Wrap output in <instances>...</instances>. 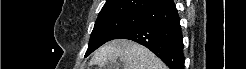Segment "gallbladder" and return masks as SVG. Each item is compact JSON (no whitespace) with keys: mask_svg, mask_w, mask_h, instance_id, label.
<instances>
[{"mask_svg":"<svg viewBox=\"0 0 246 69\" xmlns=\"http://www.w3.org/2000/svg\"><path fill=\"white\" fill-rule=\"evenodd\" d=\"M110 68L109 65H107L106 69H122V66L120 64H113Z\"/></svg>","mask_w":246,"mask_h":69,"instance_id":"1","label":"gallbladder"}]
</instances>
